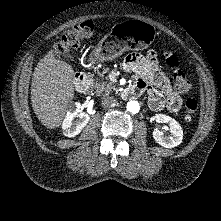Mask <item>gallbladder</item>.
Masks as SVG:
<instances>
[{"label":"gallbladder","mask_w":221,"mask_h":221,"mask_svg":"<svg viewBox=\"0 0 221 221\" xmlns=\"http://www.w3.org/2000/svg\"><path fill=\"white\" fill-rule=\"evenodd\" d=\"M64 56L66 57V58H72V56H70V54H68V53H64Z\"/></svg>","instance_id":"bac80fb5"}]
</instances>
